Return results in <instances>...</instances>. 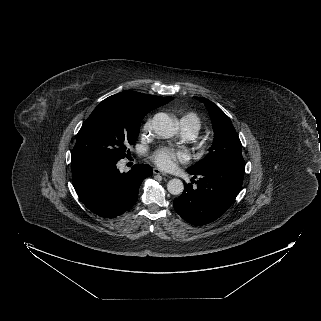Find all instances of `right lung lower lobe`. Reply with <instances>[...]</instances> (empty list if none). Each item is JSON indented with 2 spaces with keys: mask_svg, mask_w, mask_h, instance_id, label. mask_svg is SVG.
Segmentation results:
<instances>
[{
  "mask_svg": "<svg viewBox=\"0 0 321 321\" xmlns=\"http://www.w3.org/2000/svg\"><path fill=\"white\" fill-rule=\"evenodd\" d=\"M71 165L78 197L90 211L104 218H115L132 207L142 181L152 175L147 164H137L127 173H120L116 163L81 161Z\"/></svg>",
  "mask_w": 321,
  "mask_h": 321,
  "instance_id": "98d812e1",
  "label": "right lung lower lobe"
}]
</instances>
